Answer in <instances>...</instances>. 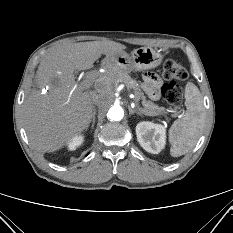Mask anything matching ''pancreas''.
<instances>
[{"label":"pancreas","mask_w":233,"mask_h":233,"mask_svg":"<svg viewBox=\"0 0 233 233\" xmlns=\"http://www.w3.org/2000/svg\"><path fill=\"white\" fill-rule=\"evenodd\" d=\"M116 76V79L120 83H125L126 87L129 91L135 95V101L142 100V105L144 106V112L147 115H159L164 113L165 109L163 107H159L157 104L153 103L150 100L146 99V96L141 91L139 84L136 80L132 79L127 73L123 72L118 68H113L112 70Z\"/></svg>","instance_id":"1"}]
</instances>
